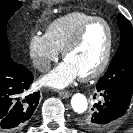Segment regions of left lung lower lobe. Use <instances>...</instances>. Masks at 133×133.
I'll use <instances>...</instances> for the list:
<instances>
[{
  "label": "left lung lower lobe",
  "mask_w": 133,
  "mask_h": 133,
  "mask_svg": "<svg viewBox=\"0 0 133 133\" xmlns=\"http://www.w3.org/2000/svg\"><path fill=\"white\" fill-rule=\"evenodd\" d=\"M131 92L122 88L110 87L100 90L104 100L94 104L90 121L97 127L90 133L103 131L114 125L126 112L132 97Z\"/></svg>",
  "instance_id": "left-lung-lower-lobe-1"
}]
</instances>
